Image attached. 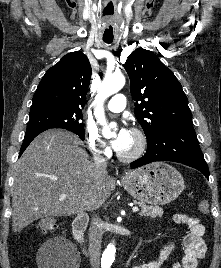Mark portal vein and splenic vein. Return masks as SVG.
<instances>
[{"label":"portal vein and splenic vein","mask_w":221,"mask_h":268,"mask_svg":"<svg viewBox=\"0 0 221 268\" xmlns=\"http://www.w3.org/2000/svg\"><path fill=\"white\" fill-rule=\"evenodd\" d=\"M66 197H67V194H63V195L60 197V199L63 200V199H65ZM132 211H133V212H138V211H139V208H138V207H133V208H132Z\"/></svg>","instance_id":"1"}]
</instances>
